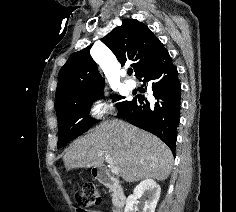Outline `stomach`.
Segmentation results:
<instances>
[{
	"instance_id": "obj_1",
	"label": "stomach",
	"mask_w": 236,
	"mask_h": 212,
	"mask_svg": "<svg viewBox=\"0 0 236 212\" xmlns=\"http://www.w3.org/2000/svg\"><path fill=\"white\" fill-rule=\"evenodd\" d=\"M92 172H93V176H97V169L93 168Z\"/></svg>"
}]
</instances>
